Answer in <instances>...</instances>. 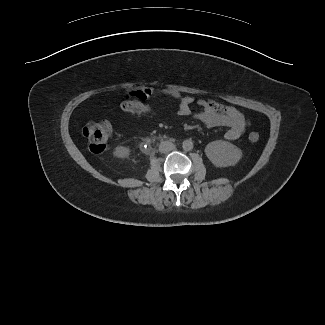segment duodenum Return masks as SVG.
Wrapping results in <instances>:
<instances>
[{"instance_id":"410a0bca","label":"duodenum","mask_w":325,"mask_h":325,"mask_svg":"<svg viewBox=\"0 0 325 325\" xmlns=\"http://www.w3.org/2000/svg\"><path fill=\"white\" fill-rule=\"evenodd\" d=\"M162 140H167V138L166 137H162Z\"/></svg>"}]
</instances>
